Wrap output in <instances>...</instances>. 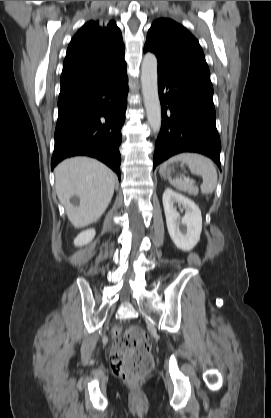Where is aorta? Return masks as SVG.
<instances>
[{
	"mask_svg": "<svg viewBox=\"0 0 271 418\" xmlns=\"http://www.w3.org/2000/svg\"><path fill=\"white\" fill-rule=\"evenodd\" d=\"M141 85L147 120L155 133L161 128V105L157 84V58L153 53L144 55L141 66Z\"/></svg>",
	"mask_w": 271,
	"mask_h": 418,
	"instance_id": "762f6f07",
	"label": "aorta"
}]
</instances>
